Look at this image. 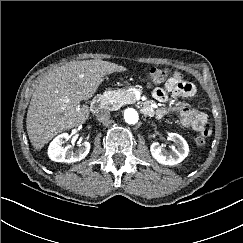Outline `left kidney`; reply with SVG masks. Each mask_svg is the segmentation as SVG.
<instances>
[{
  "instance_id": "left-kidney-1",
  "label": "left kidney",
  "mask_w": 243,
  "mask_h": 243,
  "mask_svg": "<svg viewBox=\"0 0 243 243\" xmlns=\"http://www.w3.org/2000/svg\"><path fill=\"white\" fill-rule=\"evenodd\" d=\"M171 140L175 141L179 147L171 152L165 150L158 142H154L150 146V151L153 158L163 165H176L182 162L189 153V146L186 140L177 133L169 134Z\"/></svg>"
}]
</instances>
